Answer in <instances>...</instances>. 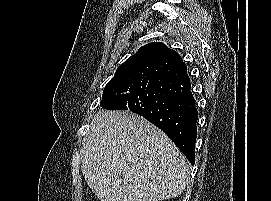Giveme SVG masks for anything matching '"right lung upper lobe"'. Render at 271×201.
<instances>
[{"instance_id":"right-lung-upper-lobe-1","label":"right lung upper lobe","mask_w":271,"mask_h":201,"mask_svg":"<svg viewBox=\"0 0 271 201\" xmlns=\"http://www.w3.org/2000/svg\"><path fill=\"white\" fill-rule=\"evenodd\" d=\"M172 52L161 42H152L141 47L136 54L128 58L121 64L115 74L135 71L150 70L152 66L161 58Z\"/></svg>"}]
</instances>
